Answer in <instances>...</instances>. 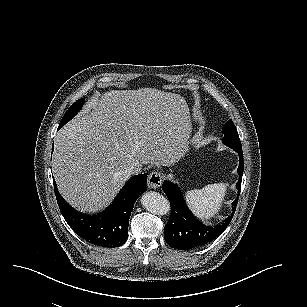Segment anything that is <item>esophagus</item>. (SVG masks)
I'll list each match as a JSON object with an SVG mask.
<instances>
[{
  "instance_id": "1",
  "label": "esophagus",
  "mask_w": 307,
  "mask_h": 307,
  "mask_svg": "<svg viewBox=\"0 0 307 307\" xmlns=\"http://www.w3.org/2000/svg\"><path fill=\"white\" fill-rule=\"evenodd\" d=\"M163 176L160 172H152L147 179V186L150 189H157L161 186Z\"/></svg>"
}]
</instances>
